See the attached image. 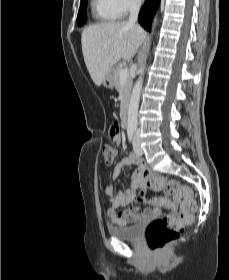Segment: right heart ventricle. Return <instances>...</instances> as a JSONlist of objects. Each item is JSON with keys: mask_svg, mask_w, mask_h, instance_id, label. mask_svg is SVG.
Returning <instances> with one entry per match:
<instances>
[{"mask_svg": "<svg viewBox=\"0 0 229 280\" xmlns=\"http://www.w3.org/2000/svg\"><path fill=\"white\" fill-rule=\"evenodd\" d=\"M91 9L93 16L98 23H111L118 19V16L108 5L106 0H92Z\"/></svg>", "mask_w": 229, "mask_h": 280, "instance_id": "1", "label": "right heart ventricle"}]
</instances>
